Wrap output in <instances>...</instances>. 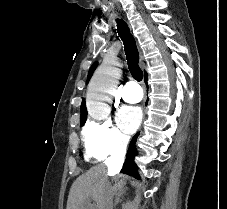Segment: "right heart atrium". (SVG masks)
<instances>
[{
  "label": "right heart atrium",
  "instance_id": "obj_1",
  "mask_svg": "<svg viewBox=\"0 0 227 209\" xmlns=\"http://www.w3.org/2000/svg\"><path fill=\"white\" fill-rule=\"evenodd\" d=\"M82 142L89 159L103 161L124 154L129 137L110 120L89 121L83 128Z\"/></svg>",
  "mask_w": 227,
  "mask_h": 209
}]
</instances>
